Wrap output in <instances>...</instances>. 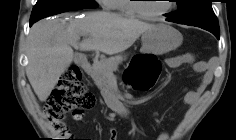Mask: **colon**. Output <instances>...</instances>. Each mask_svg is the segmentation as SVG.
<instances>
[{
	"label": "colon",
	"instance_id": "1",
	"mask_svg": "<svg viewBox=\"0 0 236 140\" xmlns=\"http://www.w3.org/2000/svg\"><path fill=\"white\" fill-rule=\"evenodd\" d=\"M160 71L161 64L155 57L136 56L125 71V80L134 90L147 91L154 86ZM95 104L96 97L84 84L80 69L71 66L51 93L45 114L55 130L62 132L64 114L70 112L80 118L83 111L92 109Z\"/></svg>",
	"mask_w": 236,
	"mask_h": 140
}]
</instances>
